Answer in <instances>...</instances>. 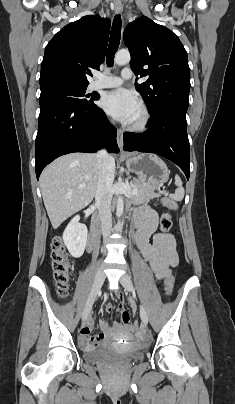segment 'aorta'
Returning a JSON list of instances; mask_svg holds the SVG:
<instances>
[{
    "label": "aorta",
    "instance_id": "obj_1",
    "mask_svg": "<svg viewBox=\"0 0 235 404\" xmlns=\"http://www.w3.org/2000/svg\"><path fill=\"white\" fill-rule=\"evenodd\" d=\"M131 56L128 50H120L116 53L114 62L117 65H126L130 62ZM124 203L122 197L117 200V215L120 217L123 213Z\"/></svg>",
    "mask_w": 235,
    "mask_h": 404
}]
</instances>
